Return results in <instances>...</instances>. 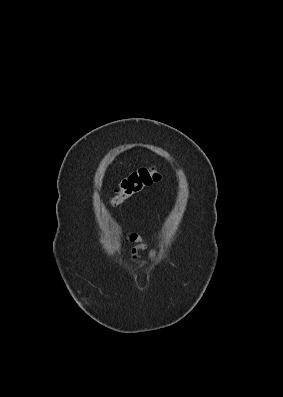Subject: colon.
<instances>
[{"label": "colon", "instance_id": "5ec220e1", "mask_svg": "<svg viewBox=\"0 0 283 397\" xmlns=\"http://www.w3.org/2000/svg\"><path fill=\"white\" fill-rule=\"evenodd\" d=\"M160 179L161 173L156 167L139 168L120 182L110 202L113 205H119L143 189L157 183Z\"/></svg>", "mask_w": 283, "mask_h": 397}]
</instances>
